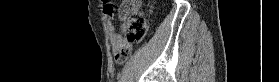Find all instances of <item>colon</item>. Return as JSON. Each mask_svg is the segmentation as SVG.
Wrapping results in <instances>:
<instances>
[{
  "instance_id": "1",
  "label": "colon",
  "mask_w": 279,
  "mask_h": 82,
  "mask_svg": "<svg viewBox=\"0 0 279 82\" xmlns=\"http://www.w3.org/2000/svg\"><path fill=\"white\" fill-rule=\"evenodd\" d=\"M141 1L124 0L121 2L118 16L123 22V31L128 47L123 51V58L127 60L132 51V45L139 43L145 35L147 26L144 18L137 12Z\"/></svg>"
}]
</instances>
